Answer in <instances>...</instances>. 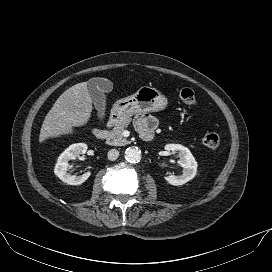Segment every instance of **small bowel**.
Masks as SVG:
<instances>
[{
  "mask_svg": "<svg viewBox=\"0 0 272 272\" xmlns=\"http://www.w3.org/2000/svg\"><path fill=\"white\" fill-rule=\"evenodd\" d=\"M136 127L141 137L147 140V135L153 133L157 127V120L150 115H141L136 122Z\"/></svg>",
  "mask_w": 272,
  "mask_h": 272,
  "instance_id": "obj_1",
  "label": "small bowel"
}]
</instances>
